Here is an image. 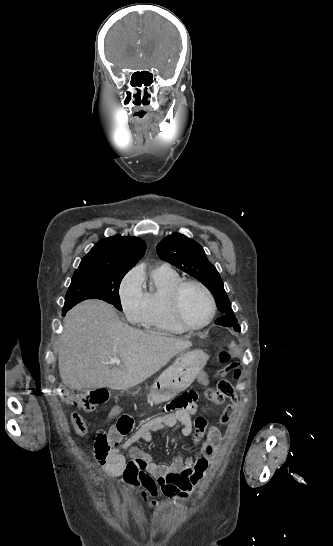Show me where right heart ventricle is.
Segmentation results:
<instances>
[{
	"mask_svg": "<svg viewBox=\"0 0 333 546\" xmlns=\"http://www.w3.org/2000/svg\"><path fill=\"white\" fill-rule=\"evenodd\" d=\"M181 280L182 277L168 266L153 268L142 280L144 315L141 323L147 330L173 335L185 332L173 318L169 307L171 291Z\"/></svg>",
	"mask_w": 333,
	"mask_h": 546,
	"instance_id": "e07e8e85",
	"label": "right heart ventricle"
}]
</instances>
